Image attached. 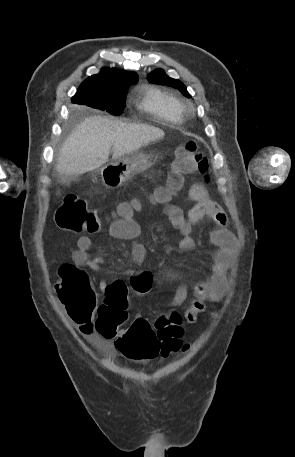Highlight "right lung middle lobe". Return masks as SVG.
I'll list each match as a JSON object with an SVG mask.
<instances>
[{"label":"right lung middle lobe","mask_w":295,"mask_h":457,"mask_svg":"<svg viewBox=\"0 0 295 457\" xmlns=\"http://www.w3.org/2000/svg\"><path fill=\"white\" fill-rule=\"evenodd\" d=\"M127 90L128 87L112 91L79 88L72 103L106 110L116 116L120 115L126 106Z\"/></svg>","instance_id":"obj_1"}]
</instances>
